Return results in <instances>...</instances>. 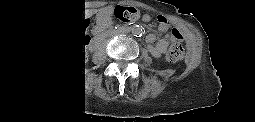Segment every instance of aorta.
<instances>
[{
    "label": "aorta",
    "mask_w": 255,
    "mask_h": 122,
    "mask_svg": "<svg viewBox=\"0 0 255 122\" xmlns=\"http://www.w3.org/2000/svg\"><path fill=\"white\" fill-rule=\"evenodd\" d=\"M132 34L136 37H139L143 34V28L140 27V26H135L133 29H132Z\"/></svg>",
    "instance_id": "1"
}]
</instances>
